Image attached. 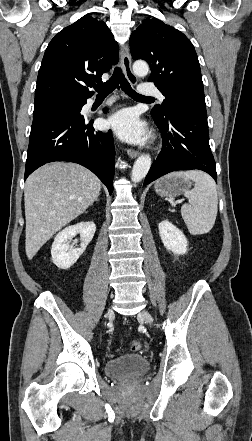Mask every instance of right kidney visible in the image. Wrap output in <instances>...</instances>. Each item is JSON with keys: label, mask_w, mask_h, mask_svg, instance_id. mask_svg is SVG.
Masks as SVG:
<instances>
[{"label": "right kidney", "mask_w": 252, "mask_h": 441, "mask_svg": "<svg viewBox=\"0 0 252 441\" xmlns=\"http://www.w3.org/2000/svg\"><path fill=\"white\" fill-rule=\"evenodd\" d=\"M96 231L94 222H81L68 226L59 232L51 247L52 262L60 269L70 268L85 251ZM80 234V248H70L69 242L76 234Z\"/></svg>", "instance_id": "ca27d5eb"}]
</instances>
